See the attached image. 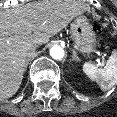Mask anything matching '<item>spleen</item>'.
<instances>
[{"label": "spleen", "mask_w": 117, "mask_h": 117, "mask_svg": "<svg viewBox=\"0 0 117 117\" xmlns=\"http://www.w3.org/2000/svg\"><path fill=\"white\" fill-rule=\"evenodd\" d=\"M84 73L94 81H97L103 90H108L117 84V50H113L104 68H98L95 64L86 62L83 65Z\"/></svg>", "instance_id": "3e777b00"}]
</instances>
